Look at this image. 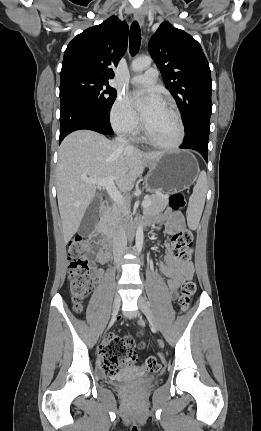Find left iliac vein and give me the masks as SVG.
I'll return each mask as SVG.
<instances>
[{
	"label": "left iliac vein",
	"instance_id": "obj_1",
	"mask_svg": "<svg viewBox=\"0 0 261 431\" xmlns=\"http://www.w3.org/2000/svg\"><path fill=\"white\" fill-rule=\"evenodd\" d=\"M138 306L140 308V310L143 312V314L147 317L149 323L151 324V326L156 329L157 331H160L161 327L159 322L157 321L149 302L147 301V299L144 296H140L138 298Z\"/></svg>",
	"mask_w": 261,
	"mask_h": 431
}]
</instances>
